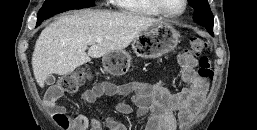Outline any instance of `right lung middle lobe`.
Wrapping results in <instances>:
<instances>
[{"label":"right lung middle lobe","mask_w":257,"mask_h":130,"mask_svg":"<svg viewBox=\"0 0 257 130\" xmlns=\"http://www.w3.org/2000/svg\"><path fill=\"white\" fill-rule=\"evenodd\" d=\"M93 0H46L38 12L37 24L44 19L71 8L91 7Z\"/></svg>","instance_id":"1"}]
</instances>
